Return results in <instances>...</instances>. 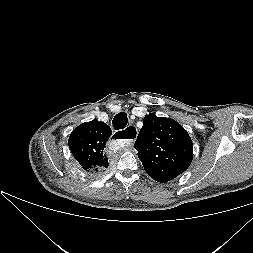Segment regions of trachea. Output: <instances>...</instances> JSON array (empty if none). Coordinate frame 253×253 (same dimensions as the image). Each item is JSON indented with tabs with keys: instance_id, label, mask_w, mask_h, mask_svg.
<instances>
[{
	"instance_id": "trachea-1",
	"label": "trachea",
	"mask_w": 253,
	"mask_h": 253,
	"mask_svg": "<svg viewBox=\"0 0 253 253\" xmlns=\"http://www.w3.org/2000/svg\"><path fill=\"white\" fill-rule=\"evenodd\" d=\"M127 122H128L127 114L124 112H121V113H118L114 117L112 124L115 130H119V129L125 128L127 125Z\"/></svg>"
}]
</instances>
